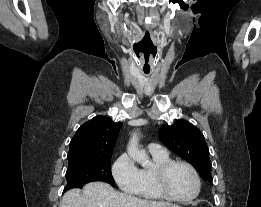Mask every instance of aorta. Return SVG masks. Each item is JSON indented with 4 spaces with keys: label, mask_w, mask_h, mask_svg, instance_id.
Wrapping results in <instances>:
<instances>
[{
    "label": "aorta",
    "mask_w": 261,
    "mask_h": 207,
    "mask_svg": "<svg viewBox=\"0 0 261 207\" xmlns=\"http://www.w3.org/2000/svg\"><path fill=\"white\" fill-rule=\"evenodd\" d=\"M138 142H139L138 134L133 133L127 146L128 155L133 160L141 164L143 167H148L151 165V162L146 152L139 148Z\"/></svg>",
    "instance_id": "aorta-1"
}]
</instances>
